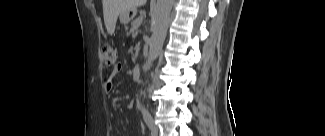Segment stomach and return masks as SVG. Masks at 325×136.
Listing matches in <instances>:
<instances>
[{
  "instance_id": "0dacf381",
  "label": "stomach",
  "mask_w": 325,
  "mask_h": 136,
  "mask_svg": "<svg viewBox=\"0 0 325 136\" xmlns=\"http://www.w3.org/2000/svg\"><path fill=\"white\" fill-rule=\"evenodd\" d=\"M135 14H136L135 9H132V10H129V11L125 12V13H122L120 15V21L122 23H128L129 20L135 16Z\"/></svg>"
}]
</instances>
